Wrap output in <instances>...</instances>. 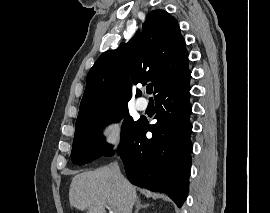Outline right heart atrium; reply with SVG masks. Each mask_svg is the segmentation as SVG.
Segmentation results:
<instances>
[{"mask_svg":"<svg viewBox=\"0 0 270 213\" xmlns=\"http://www.w3.org/2000/svg\"><path fill=\"white\" fill-rule=\"evenodd\" d=\"M100 142L113 150H117L122 142V125L119 119L110 118L105 120L98 130Z\"/></svg>","mask_w":270,"mask_h":213,"instance_id":"d8ad5b80","label":"right heart atrium"}]
</instances>
